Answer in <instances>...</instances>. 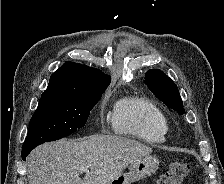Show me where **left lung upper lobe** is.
<instances>
[{
    "label": "left lung upper lobe",
    "mask_w": 224,
    "mask_h": 184,
    "mask_svg": "<svg viewBox=\"0 0 224 184\" xmlns=\"http://www.w3.org/2000/svg\"><path fill=\"white\" fill-rule=\"evenodd\" d=\"M145 80L150 91L169 108L184 114L183 102L176 84L161 70L153 69L146 73Z\"/></svg>",
    "instance_id": "1"
}]
</instances>
